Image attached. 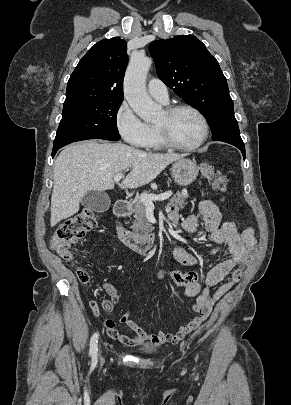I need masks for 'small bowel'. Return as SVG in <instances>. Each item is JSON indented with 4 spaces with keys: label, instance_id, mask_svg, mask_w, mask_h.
Masks as SVG:
<instances>
[{
    "label": "small bowel",
    "instance_id": "small-bowel-1",
    "mask_svg": "<svg viewBox=\"0 0 291 405\" xmlns=\"http://www.w3.org/2000/svg\"><path fill=\"white\" fill-rule=\"evenodd\" d=\"M169 216L173 220L178 218L174 208L170 210ZM199 216L203 218L208 232L207 240L210 245L208 254L214 253L218 245L226 243L231 258L212 267L202 281L185 287V293L188 297H197L195 304L192 306V310L197 315L176 333H166L163 331L150 333L138 326L131 318V314L127 312L120 317L119 322L128 326L134 332V336L120 333L116 329L113 320H105L104 326L107 334L112 339L126 346H135L144 342H150L155 345L178 343L187 334L199 328L206 321L213 304L240 280L243 267L252 259L255 253L256 241L253 231L247 229L240 232L232 222H225L221 225L222 215L218 207L210 200H201L198 203L196 212L182 222V230L186 236L196 231ZM174 258L182 266H193L197 262L196 257L187 251L184 244L175 248ZM220 283L222 284L219 289L211 296L210 287ZM105 289L109 298L103 302V309L111 312L119 302V295L116 288L110 284H107ZM90 308L95 316L100 315L96 302L91 301Z\"/></svg>",
    "mask_w": 291,
    "mask_h": 405
}]
</instances>
